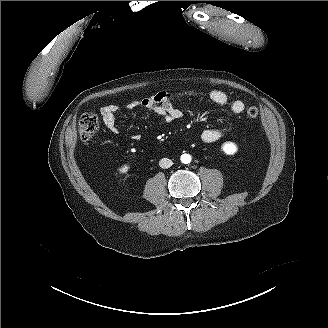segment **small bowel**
I'll use <instances>...</instances> for the list:
<instances>
[{
    "label": "small bowel",
    "instance_id": "c3829d8e",
    "mask_svg": "<svg viewBox=\"0 0 328 328\" xmlns=\"http://www.w3.org/2000/svg\"><path fill=\"white\" fill-rule=\"evenodd\" d=\"M197 90H188L180 94L181 97L194 98L199 96ZM206 97L217 105H229L230 110L234 114H240L245 110V104L242 100H229L227 94L221 90L213 89L206 93ZM174 96L166 91H160L154 95L134 100L127 104L126 108L130 111L138 107H143L160 116L165 122H172L181 117V111L173 105ZM119 111V106L116 104H108L100 109V114L105 127L113 134L119 132L116 124V114ZM201 140L204 143H213L221 137V131L216 128L205 129L201 132ZM138 140L135 135L132 137Z\"/></svg>",
    "mask_w": 328,
    "mask_h": 328
}]
</instances>
